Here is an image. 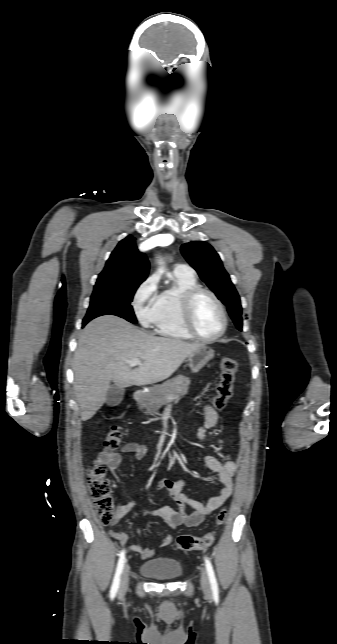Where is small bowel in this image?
<instances>
[{"mask_svg":"<svg viewBox=\"0 0 337 644\" xmlns=\"http://www.w3.org/2000/svg\"><path fill=\"white\" fill-rule=\"evenodd\" d=\"M204 413V424L197 431V438L200 442H203L205 440L206 431L215 427L219 420L217 412L212 409L210 405H206L204 407ZM148 451L149 448L145 445H141L135 442H128L124 444L119 451H114L107 448L103 449L99 455V459L111 473L115 474L117 468L121 464L122 454L131 453L135 456L136 459L142 460L146 457ZM204 461L206 466L218 475L220 489L217 495L209 498L207 502L203 503L196 499L188 497L183 492L186 484L184 479H162L158 482V488L168 491L173 500L178 505L179 509L175 510L168 505H162L155 509L145 508L142 511L143 516H158L167 524L170 530L174 531L180 526H198L203 522L205 517L209 516L215 510L220 508L224 504V502L232 495V478L236 472L237 464L232 460L222 461L214 456H206L204 458ZM186 506L191 507L193 509V512L190 514L186 513ZM133 507L134 502L131 500L120 505L117 508L116 516L111 526L114 527L125 514L132 510ZM109 534L120 544H125L128 540V534L126 532L117 531L114 528H111ZM172 540L173 534H168L160 540L157 547L143 548L140 544H132L130 548L133 551L139 553L142 558L148 559L156 554L157 548L168 546Z\"/></svg>","mask_w":337,"mask_h":644,"instance_id":"small-bowel-1","label":"small bowel"}]
</instances>
